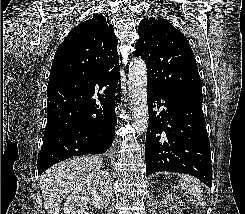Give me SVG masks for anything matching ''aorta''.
Segmentation results:
<instances>
[{"mask_svg": "<svg viewBox=\"0 0 245 214\" xmlns=\"http://www.w3.org/2000/svg\"><path fill=\"white\" fill-rule=\"evenodd\" d=\"M147 68L143 60L134 58L129 65L128 90L134 127L144 133L148 127Z\"/></svg>", "mask_w": 245, "mask_h": 214, "instance_id": "aorta-1", "label": "aorta"}]
</instances>
